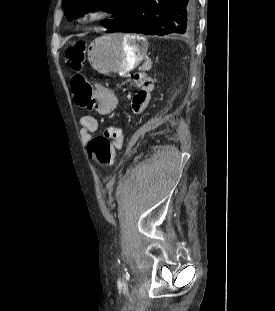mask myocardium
<instances>
[{"label": "myocardium", "instance_id": "obj_1", "mask_svg": "<svg viewBox=\"0 0 275 311\" xmlns=\"http://www.w3.org/2000/svg\"><path fill=\"white\" fill-rule=\"evenodd\" d=\"M111 16L110 10L105 6H93L85 10L83 17L89 22L98 23L106 21Z\"/></svg>", "mask_w": 275, "mask_h": 311}]
</instances>
